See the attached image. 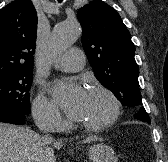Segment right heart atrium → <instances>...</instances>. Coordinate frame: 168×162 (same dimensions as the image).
Instances as JSON below:
<instances>
[{
  "mask_svg": "<svg viewBox=\"0 0 168 162\" xmlns=\"http://www.w3.org/2000/svg\"><path fill=\"white\" fill-rule=\"evenodd\" d=\"M32 114L36 123L49 130L63 127V118L56 105L43 94H38L32 103Z\"/></svg>",
  "mask_w": 168,
  "mask_h": 162,
  "instance_id": "obj_1",
  "label": "right heart atrium"
}]
</instances>
